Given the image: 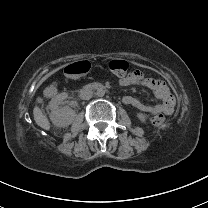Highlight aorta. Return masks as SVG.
I'll return each mask as SVG.
<instances>
[{"instance_id": "1", "label": "aorta", "mask_w": 208, "mask_h": 208, "mask_svg": "<svg viewBox=\"0 0 208 208\" xmlns=\"http://www.w3.org/2000/svg\"><path fill=\"white\" fill-rule=\"evenodd\" d=\"M96 94L98 97H103L105 95V91L103 89H99L97 90Z\"/></svg>"}]
</instances>
